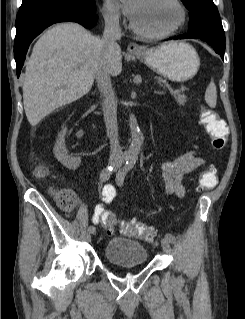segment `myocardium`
Segmentation results:
<instances>
[{"mask_svg": "<svg viewBox=\"0 0 245 319\" xmlns=\"http://www.w3.org/2000/svg\"><path fill=\"white\" fill-rule=\"evenodd\" d=\"M171 2L173 4H175V6L178 8L179 10V21L178 23L172 27L171 29H168L166 31L163 32H158V33H150V32H146L142 29H140L134 22L133 20L130 21V27L131 29L140 37H143L145 39H149V40H159V39H164L167 37H170L174 34H176L186 23L187 20V12L186 9L184 7V5L182 4V2L180 0H171Z\"/></svg>", "mask_w": 245, "mask_h": 319, "instance_id": "myocardium-1", "label": "myocardium"}]
</instances>
